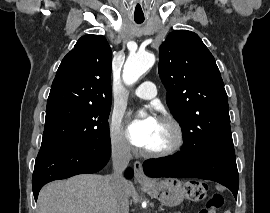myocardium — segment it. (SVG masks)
I'll list each match as a JSON object with an SVG mask.
<instances>
[{
	"label": "myocardium",
	"instance_id": "1",
	"mask_svg": "<svg viewBox=\"0 0 270 213\" xmlns=\"http://www.w3.org/2000/svg\"><path fill=\"white\" fill-rule=\"evenodd\" d=\"M159 121L169 125L172 128L174 137H173L172 142L168 146L162 149L146 150L144 154L149 157L169 156L179 151L184 145V141H185L184 131L181 124L178 122L177 119H175L171 115L165 114L159 118Z\"/></svg>",
	"mask_w": 270,
	"mask_h": 213
}]
</instances>
